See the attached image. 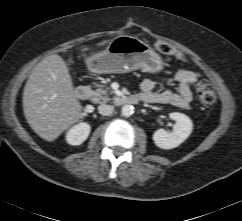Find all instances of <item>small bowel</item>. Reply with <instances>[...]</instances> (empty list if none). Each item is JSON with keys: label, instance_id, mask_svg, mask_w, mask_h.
<instances>
[{"label": "small bowel", "instance_id": "obj_1", "mask_svg": "<svg viewBox=\"0 0 242 221\" xmlns=\"http://www.w3.org/2000/svg\"><path fill=\"white\" fill-rule=\"evenodd\" d=\"M197 74L191 70L179 69L174 74L177 83V91L164 90L155 91V82L145 79L141 83V94L143 101L147 103L169 104L180 108H188L193 99L192 88Z\"/></svg>", "mask_w": 242, "mask_h": 221}]
</instances>
